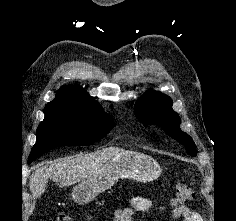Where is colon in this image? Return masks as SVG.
<instances>
[{"label":"colon","instance_id":"1","mask_svg":"<svg viewBox=\"0 0 236 221\" xmlns=\"http://www.w3.org/2000/svg\"><path fill=\"white\" fill-rule=\"evenodd\" d=\"M175 198L174 202L176 205H185L193 200L197 196L196 190L186 180H179L175 185ZM56 221H74L73 218L65 213H59Z\"/></svg>","mask_w":236,"mask_h":221}]
</instances>
